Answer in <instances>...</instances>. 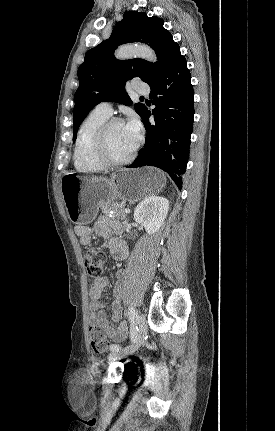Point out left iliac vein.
Wrapping results in <instances>:
<instances>
[{
	"instance_id": "4c4485c4",
	"label": "left iliac vein",
	"mask_w": 275,
	"mask_h": 431,
	"mask_svg": "<svg viewBox=\"0 0 275 431\" xmlns=\"http://www.w3.org/2000/svg\"><path fill=\"white\" fill-rule=\"evenodd\" d=\"M137 326L138 327H137V335H136L135 343L133 345L120 349L119 351H111V353L108 356V359L110 362L118 359H122L138 350V348L143 343L144 338L147 334V324H146V318L144 314H140L138 316Z\"/></svg>"
}]
</instances>
